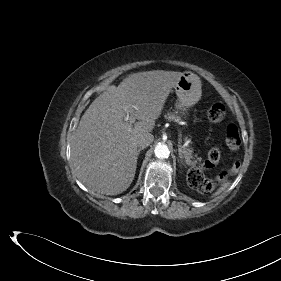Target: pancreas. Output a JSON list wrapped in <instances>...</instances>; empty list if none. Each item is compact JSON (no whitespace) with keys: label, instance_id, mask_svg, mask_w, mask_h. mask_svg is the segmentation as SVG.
I'll use <instances>...</instances> for the list:
<instances>
[{"label":"pancreas","instance_id":"obj_1","mask_svg":"<svg viewBox=\"0 0 281 281\" xmlns=\"http://www.w3.org/2000/svg\"><path fill=\"white\" fill-rule=\"evenodd\" d=\"M166 119H168V121H174V122H180L181 121V118L178 116V115H175L173 113H168L166 116H165ZM193 150L190 149V148H185L183 150V155H184V158H185V161L188 165H190L192 168H195L196 167V161L192 160L194 159L193 157Z\"/></svg>","mask_w":281,"mask_h":281}]
</instances>
